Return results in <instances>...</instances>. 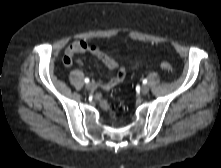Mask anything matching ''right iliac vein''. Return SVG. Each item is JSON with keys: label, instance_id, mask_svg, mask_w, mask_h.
<instances>
[{"label": "right iliac vein", "instance_id": "1", "mask_svg": "<svg viewBox=\"0 0 221 168\" xmlns=\"http://www.w3.org/2000/svg\"><path fill=\"white\" fill-rule=\"evenodd\" d=\"M86 88H87L88 90H92V89L94 88V84H93V83H87V84H86Z\"/></svg>", "mask_w": 221, "mask_h": 168}]
</instances>
